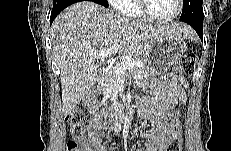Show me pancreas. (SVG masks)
I'll list each match as a JSON object with an SVG mask.
<instances>
[{"label":"pancreas","mask_w":231,"mask_h":151,"mask_svg":"<svg viewBox=\"0 0 231 151\" xmlns=\"http://www.w3.org/2000/svg\"><path fill=\"white\" fill-rule=\"evenodd\" d=\"M135 66L129 70L134 79H143L149 76V71L144 66L143 60L135 59ZM124 87V76L116 74L113 70L108 71L103 77L101 84L104 100L116 101L120 88Z\"/></svg>","instance_id":"1"}]
</instances>
